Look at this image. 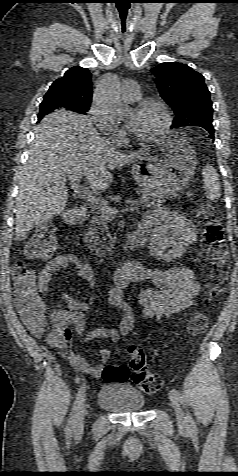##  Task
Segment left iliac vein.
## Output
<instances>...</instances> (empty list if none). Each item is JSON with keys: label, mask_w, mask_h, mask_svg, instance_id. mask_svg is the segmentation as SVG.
Segmentation results:
<instances>
[{"label": "left iliac vein", "mask_w": 238, "mask_h": 476, "mask_svg": "<svg viewBox=\"0 0 238 476\" xmlns=\"http://www.w3.org/2000/svg\"><path fill=\"white\" fill-rule=\"evenodd\" d=\"M169 399L171 401V405L175 411L176 419L177 422L180 426L185 427L187 425L186 417L184 415V412L176 399V397L170 392L169 393Z\"/></svg>", "instance_id": "4c4485c4"}]
</instances>
